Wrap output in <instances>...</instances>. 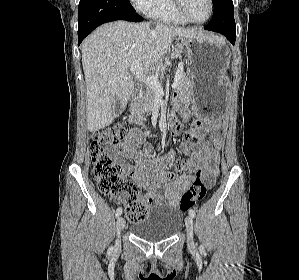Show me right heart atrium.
Segmentation results:
<instances>
[{
    "instance_id": "d8ad5b80",
    "label": "right heart atrium",
    "mask_w": 299,
    "mask_h": 280,
    "mask_svg": "<svg viewBox=\"0 0 299 280\" xmlns=\"http://www.w3.org/2000/svg\"><path fill=\"white\" fill-rule=\"evenodd\" d=\"M154 0H130L133 7L140 11L147 13L150 7L152 6Z\"/></svg>"
}]
</instances>
